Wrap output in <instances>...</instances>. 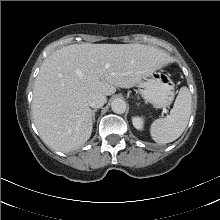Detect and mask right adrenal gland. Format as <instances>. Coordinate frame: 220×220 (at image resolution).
<instances>
[{"mask_svg":"<svg viewBox=\"0 0 220 220\" xmlns=\"http://www.w3.org/2000/svg\"><path fill=\"white\" fill-rule=\"evenodd\" d=\"M97 112V109L92 110L91 114H92V121H95V113Z\"/></svg>","mask_w":220,"mask_h":220,"instance_id":"2a0ac1e0","label":"right adrenal gland"}]
</instances>
